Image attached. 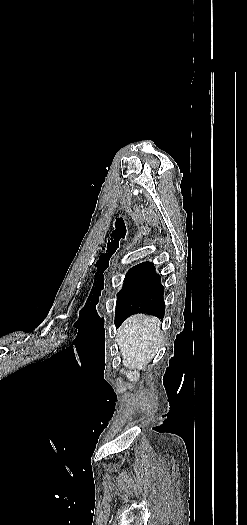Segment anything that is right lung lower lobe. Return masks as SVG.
<instances>
[{
	"mask_svg": "<svg viewBox=\"0 0 247 525\" xmlns=\"http://www.w3.org/2000/svg\"><path fill=\"white\" fill-rule=\"evenodd\" d=\"M163 294L164 287L161 284V277L151 265L146 276L126 299L121 314L115 321L116 327L118 328L130 315L138 312L163 318L165 314Z\"/></svg>",
	"mask_w": 247,
	"mask_h": 525,
	"instance_id": "1",
	"label": "right lung lower lobe"
}]
</instances>
